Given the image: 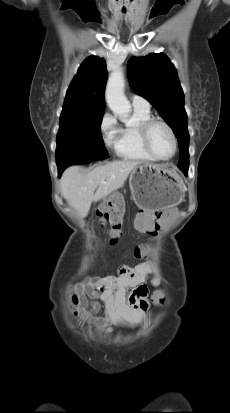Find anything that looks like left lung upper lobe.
I'll return each mask as SVG.
<instances>
[{"label":"left lung upper lobe","instance_id":"obj_1","mask_svg":"<svg viewBox=\"0 0 230 413\" xmlns=\"http://www.w3.org/2000/svg\"><path fill=\"white\" fill-rule=\"evenodd\" d=\"M130 85L135 93L146 98L172 128L178 140V168H189V133L184 109V95L176 69L162 53L133 57L128 61Z\"/></svg>","mask_w":230,"mask_h":413}]
</instances>
